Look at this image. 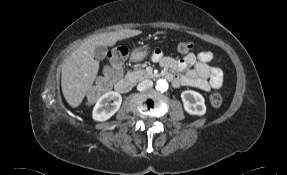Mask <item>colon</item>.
<instances>
[{
    "instance_id": "5ec220e1",
    "label": "colon",
    "mask_w": 287,
    "mask_h": 175,
    "mask_svg": "<svg viewBox=\"0 0 287 175\" xmlns=\"http://www.w3.org/2000/svg\"><path fill=\"white\" fill-rule=\"evenodd\" d=\"M177 49L180 53L187 54L191 51L192 44L189 42H182L178 45ZM125 55H126V50L123 47H119V48L111 51V53H110L111 58H118V59L122 58ZM114 78H115V76H114ZM210 101L214 106H219L222 102V97H221L220 93L213 92L210 95Z\"/></svg>"
}]
</instances>
